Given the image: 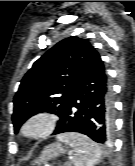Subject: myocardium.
Returning a JSON list of instances; mask_svg holds the SVG:
<instances>
[{
    "mask_svg": "<svg viewBox=\"0 0 135 166\" xmlns=\"http://www.w3.org/2000/svg\"><path fill=\"white\" fill-rule=\"evenodd\" d=\"M56 120V116L50 112L34 113L22 123L19 134L29 141L44 139L55 130Z\"/></svg>",
    "mask_w": 135,
    "mask_h": 166,
    "instance_id": "1",
    "label": "myocardium"
}]
</instances>
